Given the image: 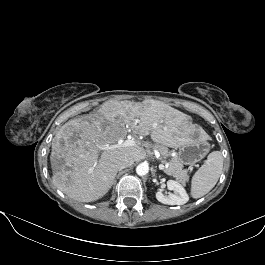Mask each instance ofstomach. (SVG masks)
Returning a JSON list of instances; mask_svg holds the SVG:
<instances>
[{"instance_id": "1", "label": "stomach", "mask_w": 265, "mask_h": 265, "mask_svg": "<svg viewBox=\"0 0 265 265\" xmlns=\"http://www.w3.org/2000/svg\"><path fill=\"white\" fill-rule=\"evenodd\" d=\"M207 147L206 142L190 137V141L179 148L178 159L185 165H192L205 156Z\"/></svg>"}]
</instances>
